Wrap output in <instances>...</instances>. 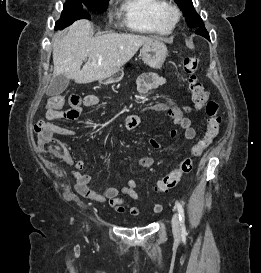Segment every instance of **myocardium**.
Listing matches in <instances>:
<instances>
[{"instance_id":"myocardium-1","label":"myocardium","mask_w":261,"mask_h":273,"mask_svg":"<svg viewBox=\"0 0 261 273\" xmlns=\"http://www.w3.org/2000/svg\"><path fill=\"white\" fill-rule=\"evenodd\" d=\"M161 17L167 26L173 28L179 22L181 12L176 5L167 3L162 10Z\"/></svg>"}]
</instances>
